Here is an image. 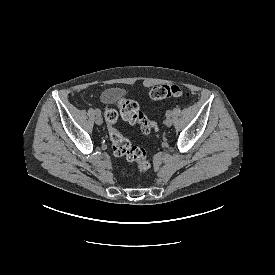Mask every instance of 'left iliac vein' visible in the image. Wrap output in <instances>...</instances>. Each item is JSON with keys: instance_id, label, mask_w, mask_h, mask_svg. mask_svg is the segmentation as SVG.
Here are the masks:
<instances>
[{"instance_id": "1", "label": "left iliac vein", "mask_w": 275, "mask_h": 275, "mask_svg": "<svg viewBox=\"0 0 275 275\" xmlns=\"http://www.w3.org/2000/svg\"><path fill=\"white\" fill-rule=\"evenodd\" d=\"M164 124L167 126V127H170L172 126L173 124V120L171 118H167L165 121H164Z\"/></svg>"}]
</instances>
